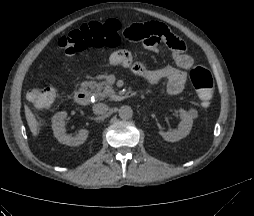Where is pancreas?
<instances>
[{"mask_svg":"<svg viewBox=\"0 0 254 216\" xmlns=\"http://www.w3.org/2000/svg\"><path fill=\"white\" fill-rule=\"evenodd\" d=\"M86 86L92 91L97 100H103L112 93V87L105 81L99 83L90 81L86 83Z\"/></svg>","mask_w":254,"mask_h":216,"instance_id":"cf45deb5","label":"pancreas"}]
</instances>
